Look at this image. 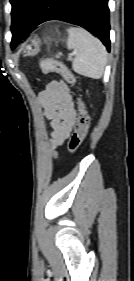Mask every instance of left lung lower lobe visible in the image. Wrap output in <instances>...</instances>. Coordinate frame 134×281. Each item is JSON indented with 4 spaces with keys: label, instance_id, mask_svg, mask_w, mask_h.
I'll use <instances>...</instances> for the list:
<instances>
[{
    "label": "left lung lower lobe",
    "instance_id": "0a47b994",
    "mask_svg": "<svg viewBox=\"0 0 134 281\" xmlns=\"http://www.w3.org/2000/svg\"><path fill=\"white\" fill-rule=\"evenodd\" d=\"M61 20L79 25L95 34L110 51L108 0H44L25 31L12 30L11 48L45 21Z\"/></svg>",
    "mask_w": 134,
    "mask_h": 281
}]
</instances>
